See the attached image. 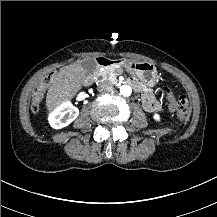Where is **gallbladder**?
<instances>
[{
    "mask_svg": "<svg viewBox=\"0 0 217 217\" xmlns=\"http://www.w3.org/2000/svg\"><path fill=\"white\" fill-rule=\"evenodd\" d=\"M82 69H86L89 73L94 72L97 69V63L94 59L83 60L80 64Z\"/></svg>",
    "mask_w": 217,
    "mask_h": 217,
    "instance_id": "bac80fb5",
    "label": "gallbladder"
}]
</instances>
